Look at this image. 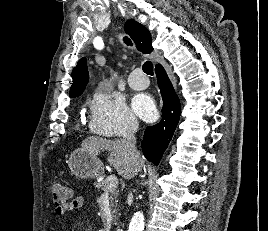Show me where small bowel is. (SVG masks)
Returning <instances> with one entry per match:
<instances>
[{"instance_id": "1", "label": "small bowel", "mask_w": 268, "mask_h": 231, "mask_svg": "<svg viewBox=\"0 0 268 231\" xmlns=\"http://www.w3.org/2000/svg\"><path fill=\"white\" fill-rule=\"evenodd\" d=\"M85 203V198L83 196H76L75 198H73L68 205L67 209H61V208H56L54 210V213L56 216H63L65 215L66 211H75V210H79L83 207Z\"/></svg>"}]
</instances>
